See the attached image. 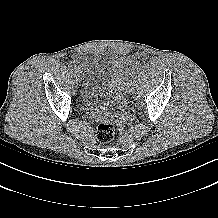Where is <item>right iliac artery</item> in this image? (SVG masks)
<instances>
[{
    "label": "right iliac artery",
    "instance_id": "82829eb1",
    "mask_svg": "<svg viewBox=\"0 0 218 218\" xmlns=\"http://www.w3.org/2000/svg\"><path fill=\"white\" fill-rule=\"evenodd\" d=\"M68 67L71 68V69H73V64H72V62L68 63Z\"/></svg>",
    "mask_w": 218,
    "mask_h": 218
}]
</instances>
